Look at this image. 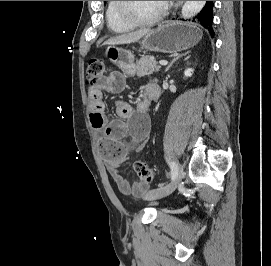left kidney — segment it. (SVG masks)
Masks as SVG:
<instances>
[{"instance_id": "left-kidney-1", "label": "left kidney", "mask_w": 271, "mask_h": 266, "mask_svg": "<svg viewBox=\"0 0 271 266\" xmlns=\"http://www.w3.org/2000/svg\"><path fill=\"white\" fill-rule=\"evenodd\" d=\"M193 71H194V70H193L192 68H188V69L185 70L184 75H185L186 77H191L192 74H193Z\"/></svg>"}]
</instances>
